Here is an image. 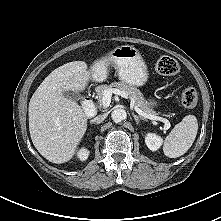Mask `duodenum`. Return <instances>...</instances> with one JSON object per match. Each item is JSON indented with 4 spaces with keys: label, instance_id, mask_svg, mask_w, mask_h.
<instances>
[{
    "label": "duodenum",
    "instance_id": "obj_1",
    "mask_svg": "<svg viewBox=\"0 0 221 221\" xmlns=\"http://www.w3.org/2000/svg\"><path fill=\"white\" fill-rule=\"evenodd\" d=\"M84 111L88 116L94 115L96 109L94 101L91 97H86L84 103H83Z\"/></svg>",
    "mask_w": 221,
    "mask_h": 221
}]
</instances>
